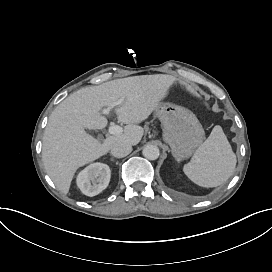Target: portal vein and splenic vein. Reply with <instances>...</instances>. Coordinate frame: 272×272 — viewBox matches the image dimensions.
I'll list each match as a JSON object with an SVG mask.
<instances>
[{
	"label": "portal vein and splenic vein",
	"instance_id": "18ae733b",
	"mask_svg": "<svg viewBox=\"0 0 272 272\" xmlns=\"http://www.w3.org/2000/svg\"><path fill=\"white\" fill-rule=\"evenodd\" d=\"M124 102V98H121V99H118L117 101L115 102H112L111 104H109L106 108L103 109V111L100 113L101 115H110L111 114V110L122 104ZM109 132L111 134H119L122 132V128L118 125H112L109 127Z\"/></svg>",
	"mask_w": 272,
	"mask_h": 272
}]
</instances>
